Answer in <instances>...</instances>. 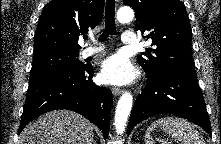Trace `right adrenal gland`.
<instances>
[{
  "instance_id": "2a0ac1e0",
  "label": "right adrenal gland",
  "mask_w": 221,
  "mask_h": 144,
  "mask_svg": "<svg viewBox=\"0 0 221 144\" xmlns=\"http://www.w3.org/2000/svg\"><path fill=\"white\" fill-rule=\"evenodd\" d=\"M93 144H96V142L94 141V139H93Z\"/></svg>"
}]
</instances>
